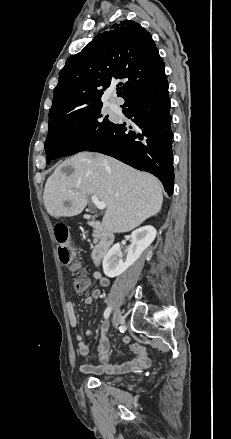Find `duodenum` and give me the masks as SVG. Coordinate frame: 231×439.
<instances>
[{
  "label": "duodenum",
  "instance_id": "obj_1",
  "mask_svg": "<svg viewBox=\"0 0 231 439\" xmlns=\"http://www.w3.org/2000/svg\"><path fill=\"white\" fill-rule=\"evenodd\" d=\"M89 224L93 227L98 238V242L92 251L91 257L93 262L96 265H99L114 242V234L100 221H90Z\"/></svg>",
  "mask_w": 231,
  "mask_h": 439
}]
</instances>
